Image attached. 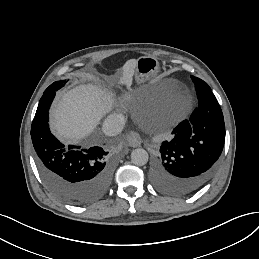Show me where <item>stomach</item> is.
<instances>
[{
	"label": "stomach",
	"instance_id": "stomach-1",
	"mask_svg": "<svg viewBox=\"0 0 259 259\" xmlns=\"http://www.w3.org/2000/svg\"><path fill=\"white\" fill-rule=\"evenodd\" d=\"M159 71V62L152 56H141L137 60L136 72L140 76H153Z\"/></svg>",
	"mask_w": 259,
	"mask_h": 259
}]
</instances>
